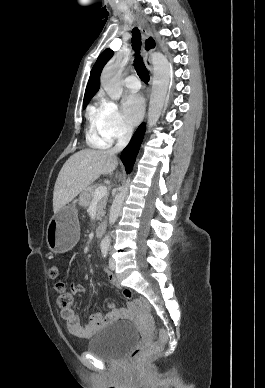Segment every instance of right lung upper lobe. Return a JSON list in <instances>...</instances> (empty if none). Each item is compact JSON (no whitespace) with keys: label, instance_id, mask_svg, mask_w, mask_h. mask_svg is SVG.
<instances>
[{"label":"right lung upper lobe","instance_id":"obj_1","mask_svg":"<svg viewBox=\"0 0 265 388\" xmlns=\"http://www.w3.org/2000/svg\"><path fill=\"white\" fill-rule=\"evenodd\" d=\"M114 52L111 49H106L97 59L95 65L93 66L90 78L86 87L84 102L86 104L90 101V99L96 94L100 87V74L102 72L103 67L109 61V59L113 56Z\"/></svg>","mask_w":265,"mask_h":388}]
</instances>
